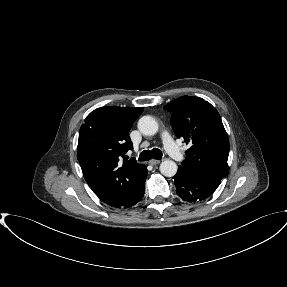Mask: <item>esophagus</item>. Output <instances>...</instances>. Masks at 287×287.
Here are the masks:
<instances>
[{"label": "esophagus", "instance_id": "1", "mask_svg": "<svg viewBox=\"0 0 287 287\" xmlns=\"http://www.w3.org/2000/svg\"><path fill=\"white\" fill-rule=\"evenodd\" d=\"M159 163H160V160L152 159V160L149 161V164L152 165V166L157 165Z\"/></svg>", "mask_w": 287, "mask_h": 287}]
</instances>
